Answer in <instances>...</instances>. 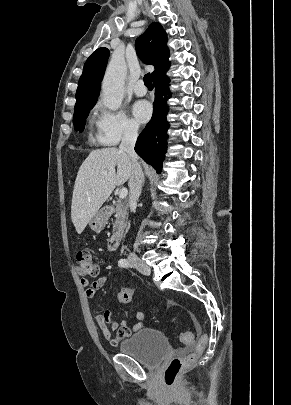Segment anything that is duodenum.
Masks as SVG:
<instances>
[{
    "instance_id": "410a0bca",
    "label": "duodenum",
    "mask_w": 291,
    "mask_h": 405,
    "mask_svg": "<svg viewBox=\"0 0 291 405\" xmlns=\"http://www.w3.org/2000/svg\"><path fill=\"white\" fill-rule=\"evenodd\" d=\"M122 237H123V231H121V230L116 231L110 237V239L108 241V244H107L108 249L111 250V251L116 250L120 246V243L122 241Z\"/></svg>"
}]
</instances>
